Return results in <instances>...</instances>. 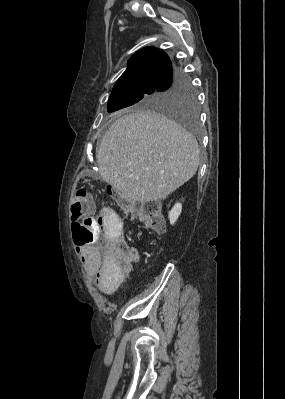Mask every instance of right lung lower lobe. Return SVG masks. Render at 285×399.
I'll use <instances>...</instances> for the list:
<instances>
[{
  "label": "right lung lower lobe",
  "mask_w": 285,
  "mask_h": 399,
  "mask_svg": "<svg viewBox=\"0 0 285 399\" xmlns=\"http://www.w3.org/2000/svg\"><path fill=\"white\" fill-rule=\"evenodd\" d=\"M183 76L182 72L180 69H178L175 65L172 66L168 69L166 72L164 78L162 79V82L160 85H164L166 83L173 82Z\"/></svg>",
  "instance_id": "1"
}]
</instances>
